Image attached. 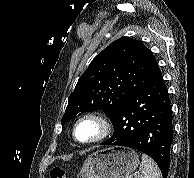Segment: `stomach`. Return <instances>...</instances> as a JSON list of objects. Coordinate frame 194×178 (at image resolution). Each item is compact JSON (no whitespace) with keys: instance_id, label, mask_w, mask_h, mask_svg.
I'll return each mask as SVG.
<instances>
[{"instance_id":"1","label":"stomach","mask_w":194,"mask_h":178,"mask_svg":"<svg viewBox=\"0 0 194 178\" xmlns=\"http://www.w3.org/2000/svg\"><path fill=\"white\" fill-rule=\"evenodd\" d=\"M139 165L138 154L116 146L92 153L83 163L80 178H128Z\"/></svg>"}]
</instances>
